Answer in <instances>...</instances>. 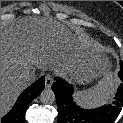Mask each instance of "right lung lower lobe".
<instances>
[{
    "label": "right lung lower lobe",
    "instance_id": "right-lung-lower-lobe-1",
    "mask_svg": "<svg viewBox=\"0 0 123 123\" xmlns=\"http://www.w3.org/2000/svg\"><path fill=\"white\" fill-rule=\"evenodd\" d=\"M45 77L28 87L19 96L12 110L1 119V123H25V111L29 104L42 92L45 85Z\"/></svg>",
    "mask_w": 123,
    "mask_h": 123
}]
</instances>
